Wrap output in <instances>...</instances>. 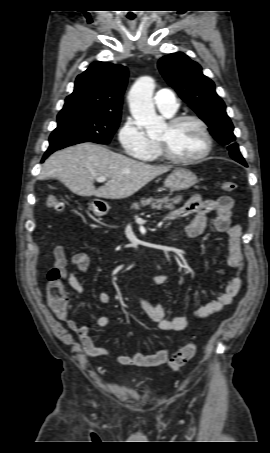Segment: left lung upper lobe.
I'll return each instance as SVG.
<instances>
[{
	"label": "left lung upper lobe",
	"mask_w": 270,
	"mask_h": 453,
	"mask_svg": "<svg viewBox=\"0 0 270 453\" xmlns=\"http://www.w3.org/2000/svg\"><path fill=\"white\" fill-rule=\"evenodd\" d=\"M158 68L169 85L209 126L211 135L220 144L227 145L230 156L247 166L235 143L234 127L225 104L215 92L213 81L202 73L201 66L184 53L177 52L162 57Z\"/></svg>",
	"instance_id": "1"
}]
</instances>
